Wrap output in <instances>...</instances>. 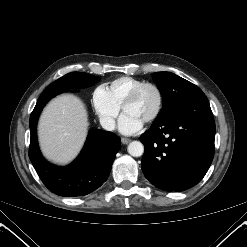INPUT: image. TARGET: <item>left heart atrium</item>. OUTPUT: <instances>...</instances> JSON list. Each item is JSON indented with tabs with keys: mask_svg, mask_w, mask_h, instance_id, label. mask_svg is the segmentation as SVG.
<instances>
[{
	"mask_svg": "<svg viewBox=\"0 0 247 247\" xmlns=\"http://www.w3.org/2000/svg\"><path fill=\"white\" fill-rule=\"evenodd\" d=\"M143 121L138 117L124 113L118 123L119 131L125 135H131L141 130L143 127Z\"/></svg>",
	"mask_w": 247,
	"mask_h": 247,
	"instance_id": "39dd6f15",
	"label": "left heart atrium"
}]
</instances>
